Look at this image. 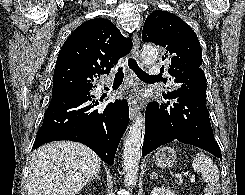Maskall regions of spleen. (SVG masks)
Listing matches in <instances>:
<instances>
[{
    "label": "spleen",
    "mask_w": 245,
    "mask_h": 195,
    "mask_svg": "<svg viewBox=\"0 0 245 195\" xmlns=\"http://www.w3.org/2000/svg\"><path fill=\"white\" fill-rule=\"evenodd\" d=\"M192 168L201 173L203 180L215 186L219 180V171L213 161L204 153H198L193 157Z\"/></svg>",
    "instance_id": "spleen-1"
}]
</instances>
